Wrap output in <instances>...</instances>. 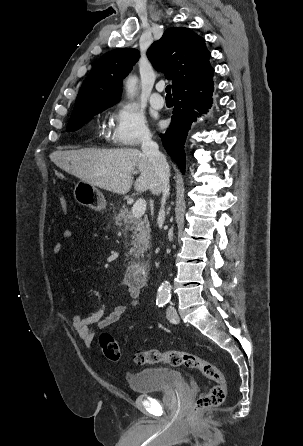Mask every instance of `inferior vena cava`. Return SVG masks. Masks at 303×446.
Segmentation results:
<instances>
[{
	"mask_svg": "<svg viewBox=\"0 0 303 446\" xmlns=\"http://www.w3.org/2000/svg\"><path fill=\"white\" fill-rule=\"evenodd\" d=\"M141 149L143 154H145L149 161L152 163L155 173L158 177V181L160 184V190L163 194L161 200V209L159 212V217L164 219L165 211L164 205L166 202V198L169 196L170 186H169V177H170V169L169 165L166 161V157L159 151V147L157 143L152 141L151 135H147L142 143ZM162 227V223L159 224Z\"/></svg>",
	"mask_w": 303,
	"mask_h": 446,
	"instance_id": "inferior-vena-cava-1",
	"label": "inferior vena cava"
}]
</instances>
